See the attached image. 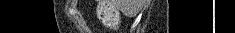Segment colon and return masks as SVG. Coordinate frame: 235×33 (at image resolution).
<instances>
[{"label": "colon", "instance_id": "1", "mask_svg": "<svg viewBox=\"0 0 235 33\" xmlns=\"http://www.w3.org/2000/svg\"><path fill=\"white\" fill-rule=\"evenodd\" d=\"M97 15L103 24L108 27H116L119 23V11L109 1L102 0L99 2Z\"/></svg>", "mask_w": 235, "mask_h": 33}]
</instances>
